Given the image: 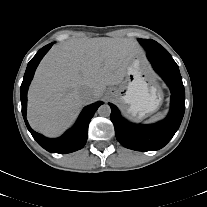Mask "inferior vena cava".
Listing matches in <instances>:
<instances>
[{"label":"inferior vena cava","mask_w":207,"mask_h":207,"mask_svg":"<svg viewBox=\"0 0 207 207\" xmlns=\"http://www.w3.org/2000/svg\"><path fill=\"white\" fill-rule=\"evenodd\" d=\"M91 95V92L88 89H84L81 91V96L84 99H88Z\"/></svg>","instance_id":"obj_1"}]
</instances>
